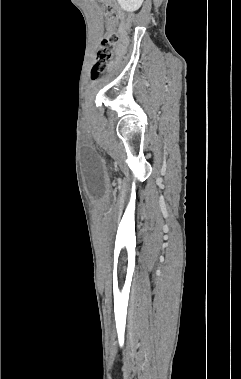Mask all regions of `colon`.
<instances>
[{
	"mask_svg": "<svg viewBox=\"0 0 241 379\" xmlns=\"http://www.w3.org/2000/svg\"><path fill=\"white\" fill-rule=\"evenodd\" d=\"M105 6V12L110 21L115 23L121 20L125 24L126 30H133V21L136 19L135 13L123 15L117 10L113 0H102ZM120 41V34L117 31L109 32L102 40L97 52L96 61L92 69V77H98L110 65L114 58L115 49Z\"/></svg>",
	"mask_w": 241,
	"mask_h": 379,
	"instance_id": "obj_1",
	"label": "colon"
}]
</instances>
